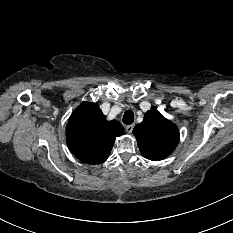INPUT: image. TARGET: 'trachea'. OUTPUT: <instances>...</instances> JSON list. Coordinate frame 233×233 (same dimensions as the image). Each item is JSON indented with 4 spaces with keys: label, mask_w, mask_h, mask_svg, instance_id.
<instances>
[{
    "label": "trachea",
    "mask_w": 233,
    "mask_h": 233,
    "mask_svg": "<svg viewBox=\"0 0 233 233\" xmlns=\"http://www.w3.org/2000/svg\"><path fill=\"white\" fill-rule=\"evenodd\" d=\"M134 121V113L132 110H127L125 113H124V116H123V123L124 124H132Z\"/></svg>",
    "instance_id": "obj_1"
}]
</instances>
